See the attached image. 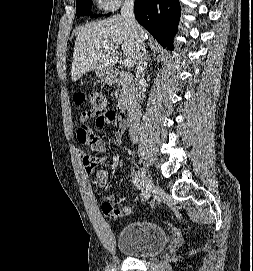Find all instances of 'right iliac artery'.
<instances>
[{"label": "right iliac artery", "instance_id": "right-iliac-artery-1", "mask_svg": "<svg viewBox=\"0 0 253 271\" xmlns=\"http://www.w3.org/2000/svg\"><path fill=\"white\" fill-rule=\"evenodd\" d=\"M132 182H133V184H134V186L137 188V189H142V182H141V180L139 179V177L138 176H134L133 178H132Z\"/></svg>", "mask_w": 253, "mask_h": 271}]
</instances>
